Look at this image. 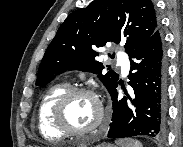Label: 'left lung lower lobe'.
<instances>
[{"label":"left lung lower lobe","mask_w":183,"mask_h":147,"mask_svg":"<svg viewBox=\"0 0 183 147\" xmlns=\"http://www.w3.org/2000/svg\"><path fill=\"white\" fill-rule=\"evenodd\" d=\"M129 56L131 66L128 83L133 88V94L118 98L120 82L110 92L113 114L108 137L162 136L167 111V66L160 28Z\"/></svg>","instance_id":"left-lung-lower-lobe-1"}]
</instances>
